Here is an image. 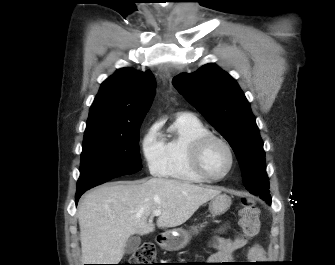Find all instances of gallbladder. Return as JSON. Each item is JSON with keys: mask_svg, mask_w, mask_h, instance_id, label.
<instances>
[{"mask_svg": "<svg viewBox=\"0 0 335 265\" xmlns=\"http://www.w3.org/2000/svg\"><path fill=\"white\" fill-rule=\"evenodd\" d=\"M141 244V239L139 236H132L130 237L125 245L124 252L125 254H132L134 253L139 245Z\"/></svg>", "mask_w": 335, "mask_h": 265, "instance_id": "obj_1", "label": "gallbladder"}]
</instances>
